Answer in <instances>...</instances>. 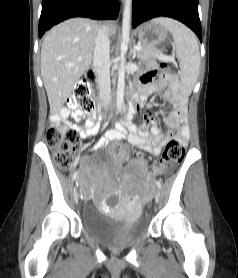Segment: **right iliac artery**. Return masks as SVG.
Here are the masks:
<instances>
[{
  "instance_id": "82829eb1",
  "label": "right iliac artery",
  "mask_w": 238,
  "mask_h": 278,
  "mask_svg": "<svg viewBox=\"0 0 238 278\" xmlns=\"http://www.w3.org/2000/svg\"><path fill=\"white\" fill-rule=\"evenodd\" d=\"M77 175H78V172H77V171H76V172H74V174H73V180H75V179H76Z\"/></svg>"
}]
</instances>
